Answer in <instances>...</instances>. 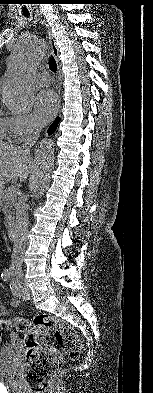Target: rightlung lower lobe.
<instances>
[{
    "label": "right lung lower lobe",
    "mask_w": 153,
    "mask_h": 393,
    "mask_svg": "<svg viewBox=\"0 0 153 393\" xmlns=\"http://www.w3.org/2000/svg\"><path fill=\"white\" fill-rule=\"evenodd\" d=\"M58 123H59V118H56V120L49 128V134L53 133L56 130Z\"/></svg>",
    "instance_id": "98d812e1"
}]
</instances>
